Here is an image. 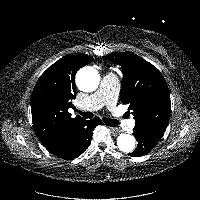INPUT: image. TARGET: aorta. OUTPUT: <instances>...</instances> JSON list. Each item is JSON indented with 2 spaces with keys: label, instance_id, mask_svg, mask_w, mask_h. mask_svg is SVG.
I'll list each match as a JSON object with an SVG mask.
<instances>
[{
  "label": "aorta",
  "instance_id": "762f6f07",
  "mask_svg": "<svg viewBox=\"0 0 200 200\" xmlns=\"http://www.w3.org/2000/svg\"><path fill=\"white\" fill-rule=\"evenodd\" d=\"M100 77L92 67H83L76 75V83L78 88L84 92H92L97 89ZM135 138L130 134L122 133L117 138L118 148L126 153L132 152L135 149Z\"/></svg>",
  "mask_w": 200,
  "mask_h": 200
}]
</instances>
